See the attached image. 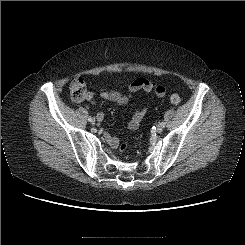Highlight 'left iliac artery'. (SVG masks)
<instances>
[{"label": "left iliac artery", "instance_id": "44dca946", "mask_svg": "<svg viewBox=\"0 0 245 245\" xmlns=\"http://www.w3.org/2000/svg\"><path fill=\"white\" fill-rule=\"evenodd\" d=\"M160 124H161L163 127H165V123H164V122H161Z\"/></svg>", "mask_w": 245, "mask_h": 245}]
</instances>
